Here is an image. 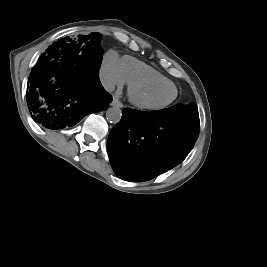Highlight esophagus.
Wrapping results in <instances>:
<instances>
[{
  "label": "esophagus",
  "mask_w": 267,
  "mask_h": 267,
  "mask_svg": "<svg viewBox=\"0 0 267 267\" xmlns=\"http://www.w3.org/2000/svg\"><path fill=\"white\" fill-rule=\"evenodd\" d=\"M111 106L122 108L123 104L118 100L117 97H113Z\"/></svg>",
  "instance_id": "obj_1"
}]
</instances>
